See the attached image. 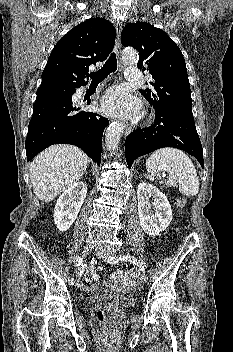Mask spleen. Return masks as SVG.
Here are the masks:
<instances>
[{"mask_svg": "<svg viewBox=\"0 0 233 352\" xmlns=\"http://www.w3.org/2000/svg\"><path fill=\"white\" fill-rule=\"evenodd\" d=\"M146 168L149 174L158 179V173H169L168 184L179 187L181 194L188 197L195 196L199 192V179L196 169L183 151L175 148L165 147L153 152L146 160Z\"/></svg>", "mask_w": 233, "mask_h": 352, "instance_id": "obj_1", "label": "spleen"}]
</instances>
